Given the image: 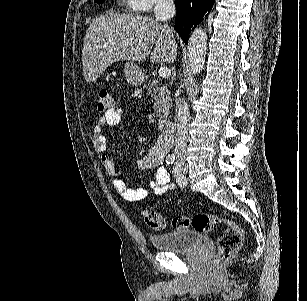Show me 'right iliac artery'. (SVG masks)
I'll list each match as a JSON object with an SVG mask.
<instances>
[{
    "mask_svg": "<svg viewBox=\"0 0 307 301\" xmlns=\"http://www.w3.org/2000/svg\"><path fill=\"white\" fill-rule=\"evenodd\" d=\"M175 160H176V157L173 154L168 155V157H167V163L168 164H173Z\"/></svg>",
    "mask_w": 307,
    "mask_h": 301,
    "instance_id": "right-iliac-artery-1",
    "label": "right iliac artery"
}]
</instances>
